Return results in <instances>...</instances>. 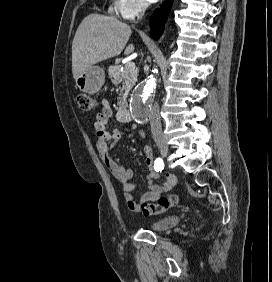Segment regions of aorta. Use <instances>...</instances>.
I'll list each match as a JSON object with an SVG mask.
<instances>
[{"instance_id":"aorta-1","label":"aorta","mask_w":272,"mask_h":282,"mask_svg":"<svg viewBox=\"0 0 272 282\" xmlns=\"http://www.w3.org/2000/svg\"><path fill=\"white\" fill-rule=\"evenodd\" d=\"M156 87V79L150 77L145 80L136 90L133 101L132 110L136 117L144 118L149 112V103L152 93Z\"/></svg>"}]
</instances>
